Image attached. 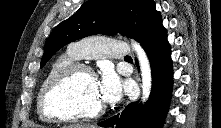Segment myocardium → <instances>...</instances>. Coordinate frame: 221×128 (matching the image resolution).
Listing matches in <instances>:
<instances>
[{"mask_svg": "<svg viewBox=\"0 0 221 128\" xmlns=\"http://www.w3.org/2000/svg\"><path fill=\"white\" fill-rule=\"evenodd\" d=\"M79 73H86L95 79L96 74L93 69L83 63H72L65 67L62 71L52 77L42 88L39 98V112L41 116L48 120H59L63 122H71L78 120H93L100 117L105 111V105L102 104L95 110L85 111L81 113H65L56 110L50 105V98L54 91L63 87L75 75Z\"/></svg>", "mask_w": 221, "mask_h": 128, "instance_id": "f54148a6", "label": "myocardium"}]
</instances>
